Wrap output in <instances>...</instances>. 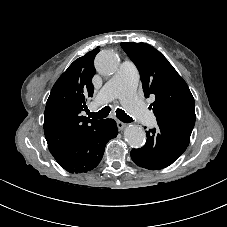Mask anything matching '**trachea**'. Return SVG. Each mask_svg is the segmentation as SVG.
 <instances>
[{
	"label": "trachea",
	"mask_w": 227,
	"mask_h": 227,
	"mask_svg": "<svg viewBox=\"0 0 227 227\" xmlns=\"http://www.w3.org/2000/svg\"><path fill=\"white\" fill-rule=\"evenodd\" d=\"M110 111H111V108L109 106H106L98 112H90L89 110H87L86 112L90 118L103 119L109 115ZM116 116L119 120L125 123H130L134 121L122 109H119V108L116 110Z\"/></svg>",
	"instance_id": "obj_1"
}]
</instances>
